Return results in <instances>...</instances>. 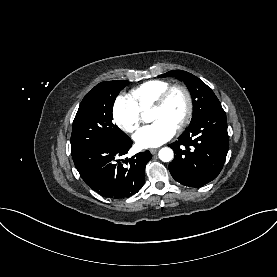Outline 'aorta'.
<instances>
[{"label": "aorta", "instance_id": "762f6f07", "mask_svg": "<svg viewBox=\"0 0 277 277\" xmlns=\"http://www.w3.org/2000/svg\"><path fill=\"white\" fill-rule=\"evenodd\" d=\"M143 119L146 122L151 121V119L146 117L145 115H143ZM173 156H174V153H173L172 149H170L168 147H164V148L160 149V151H159V158L163 162L171 161L173 159Z\"/></svg>", "mask_w": 277, "mask_h": 277}]
</instances>
